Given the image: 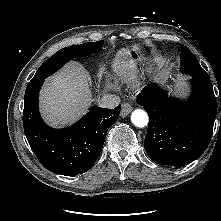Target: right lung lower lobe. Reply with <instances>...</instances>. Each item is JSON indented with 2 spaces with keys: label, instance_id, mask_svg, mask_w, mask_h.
Listing matches in <instances>:
<instances>
[{
  "label": "right lung lower lobe",
  "instance_id": "98d812e1",
  "mask_svg": "<svg viewBox=\"0 0 221 221\" xmlns=\"http://www.w3.org/2000/svg\"><path fill=\"white\" fill-rule=\"evenodd\" d=\"M44 79L30 81L25 91L23 127L41 164L51 172L77 175L88 171L98 158L108 129L116 122L121 105L92 108L74 125L53 129L42 120L38 94Z\"/></svg>",
  "mask_w": 221,
  "mask_h": 221
}]
</instances>
